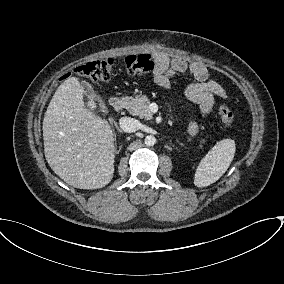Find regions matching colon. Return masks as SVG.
I'll return each instance as SVG.
<instances>
[{"mask_svg":"<svg viewBox=\"0 0 284 284\" xmlns=\"http://www.w3.org/2000/svg\"><path fill=\"white\" fill-rule=\"evenodd\" d=\"M114 60L112 58L91 61L79 65L74 72L92 81H107L113 75ZM126 71L131 75H143L152 72L156 68V61L148 54L129 55L124 59ZM222 122L226 127L233 125V113L224 104L218 108Z\"/></svg>","mask_w":284,"mask_h":284,"instance_id":"5ec220e1","label":"colon"}]
</instances>
